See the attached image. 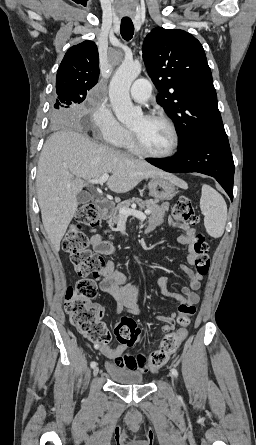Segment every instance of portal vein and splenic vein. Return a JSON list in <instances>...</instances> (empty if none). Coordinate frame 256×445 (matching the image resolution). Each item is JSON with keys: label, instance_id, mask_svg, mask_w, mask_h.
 Returning <instances> with one entry per match:
<instances>
[{"label": "portal vein and splenic vein", "instance_id": "portal-vein-and-splenic-vein-1", "mask_svg": "<svg viewBox=\"0 0 256 445\" xmlns=\"http://www.w3.org/2000/svg\"><path fill=\"white\" fill-rule=\"evenodd\" d=\"M109 178V174H103L100 178L97 179H90L88 180L89 183L91 184H100L103 185ZM120 216L121 217H128V216H134L140 220H145L146 219V214L149 213V211H145V213L141 212V211H137L134 209H129V208H120L119 210Z\"/></svg>", "mask_w": 256, "mask_h": 445}]
</instances>
